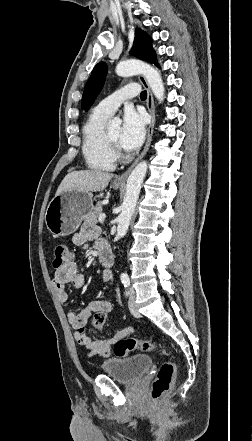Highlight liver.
Here are the masks:
<instances>
[{
	"label": "liver",
	"instance_id": "liver-1",
	"mask_svg": "<svg viewBox=\"0 0 252 441\" xmlns=\"http://www.w3.org/2000/svg\"><path fill=\"white\" fill-rule=\"evenodd\" d=\"M113 176L112 173L99 170L73 171L64 177L56 194L68 190L100 192L108 186Z\"/></svg>",
	"mask_w": 252,
	"mask_h": 441
}]
</instances>
